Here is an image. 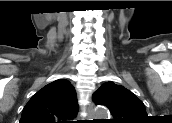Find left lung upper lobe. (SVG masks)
<instances>
[{
	"mask_svg": "<svg viewBox=\"0 0 172 123\" xmlns=\"http://www.w3.org/2000/svg\"><path fill=\"white\" fill-rule=\"evenodd\" d=\"M92 99L96 105L109 109L113 116L111 123H142L148 118L143 102L130 90L111 81L102 84Z\"/></svg>",
	"mask_w": 172,
	"mask_h": 123,
	"instance_id": "1",
	"label": "left lung upper lobe"
}]
</instances>
